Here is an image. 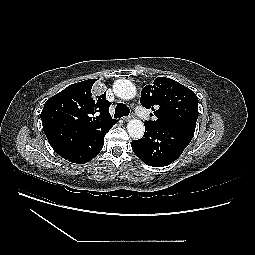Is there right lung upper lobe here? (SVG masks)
Wrapping results in <instances>:
<instances>
[{"label":"right lung upper lobe","instance_id":"1","mask_svg":"<svg viewBox=\"0 0 255 255\" xmlns=\"http://www.w3.org/2000/svg\"><path fill=\"white\" fill-rule=\"evenodd\" d=\"M95 81L88 79L72 84L44 105L41 113L43 130L60 156L89 133L117 123L109 114L110 102L106 100V94H92Z\"/></svg>","mask_w":255,"mask_h":255}]
</instances>
